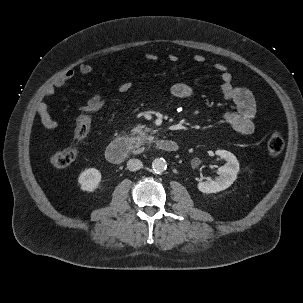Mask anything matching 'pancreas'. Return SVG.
<instances>
[{
	"instance_id": "1",
	"label": "pancreas",
	"mask_w": 303,
	"mask_h": 303,
	"mask_svg": "<svg viewBox=\"0 0 303 303\" xmlns=\"http://www.w3.org/2000/svg\"><path fill=\"white\" fill-rule=\"evenodd\" d=\"M131 135L135 136L132 141L136 145H143L152 142L153 137L151 136V129L144 128L142 125H137L131 130Z\"/></svg>"
}]
</instances>
